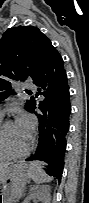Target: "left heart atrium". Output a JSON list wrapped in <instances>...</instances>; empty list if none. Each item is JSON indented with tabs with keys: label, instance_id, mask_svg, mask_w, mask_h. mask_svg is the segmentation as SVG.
<instances>
[{
	"label": "left heart atrium",
	"instance_id": "39dd6f15",
	"mask_svg": "<svg viewBox=\"0 0 89 203\" xmlns=\"http://www.w3.org/2000/svg\"><path fill=\"white\" fill-rule=\"evenodd\" d=\"M18 130L25 136L29 137L33 128V120L27 114H20L16 121Z\"/></svg>",
	"mask_w": 89,
	"mask_h": 203
}]
</instances>
